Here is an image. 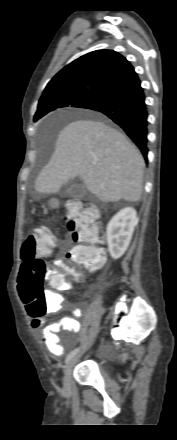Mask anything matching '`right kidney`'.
<instances>
[{"label":"right kidney","mask_w":177,"mask_h":440,"mask_svg":"<svg viewBox=\"0 0 177 440\" xmlns=\"http://www.w3.org/2000/svg\"><path fill=\"white\" fill-rule=\"evenodd\" d=\"M138 223L135 209H121L107 225L108 250L113 259L120 258L127 250L135 226Z\"/></svg>","instance_id":"1"}]
</instances>
